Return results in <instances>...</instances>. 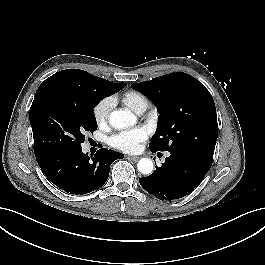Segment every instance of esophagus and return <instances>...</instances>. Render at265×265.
Masks as SVG:
<instances>
[{
	"label": "esophagus",
	"mask_w": 265,
	"mask_h": 265,
	"mask_svg": "<svg viewBox=\"0 0 265 265\" xmlns=\"http://www.w3.org/2000/svg\"><path fill=\"white\" fill-rule=\"evenodd\" d=\"M127 158L133 161H137L140 159V156H128Z\"/></svg>",
	"instance_id": "esophagus-1"
}]
</instances>
